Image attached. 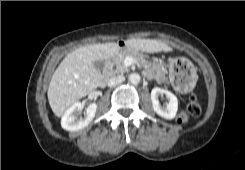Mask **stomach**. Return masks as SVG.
Segmentation results:
<instances>
[{"label": "stomach", "instance_id": "stomach-1", "mask_svg": "<svg viewBox=\"0 0 245 170\" xmlns=\"http://www.w3.org/2000/svg\"><path fill=\"white\" fill-rule=\"evenodd\" d=\"M128 50V49H126ZM168 64H169V69H170V74L173 75L175 73L174 68H180L181 65L184 64V60L181 58H170L168 59ZM194 71H193V67L190 65V76H191V82L188 85H181V88L185 91L190 90L193 87L194 84Z\"/></svg>", "mask_w": 245, "mask_h": 170}]
</instances>
